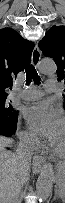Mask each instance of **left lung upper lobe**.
<instances>
[{"mask_svg": "<svg viewBox=\"0 0 65 203\" xmlns=\"http://www.w3.org/2000/svg\"><path fill=\"white\" fill-rule=\"evenodd\" d=\"M39 47L45 56L55 60L58 79L65 83V26H53L49 29L45 37L39 41Z\"/></svg>", "mask_w": 65, "mask_h": 203, "instance_id": "1", "label": "left lung upper lobe"}]
</instances>
